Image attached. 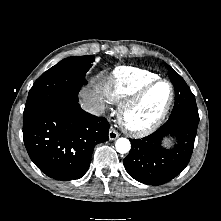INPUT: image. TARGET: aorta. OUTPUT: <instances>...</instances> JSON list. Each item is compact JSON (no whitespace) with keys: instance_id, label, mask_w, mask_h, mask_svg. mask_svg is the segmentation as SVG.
<instances>
[{"instance_id":"762f6f07","label":"aorta","mask_w":221,"mask_h":221,"mask_svg":"<svg viewBox=\"0 0 221 221\" xmlns=\"http://www.w3.org/2000/svg\"><path fill=\"white\" fill-rule=\"evenodd\" d=\"M115 147H116V150L119 153L125 154L130 150L131 144H130V141L128 139L119 138V139H117V141L115 143Z\"/></svg>"}]
</instances>
